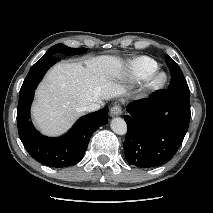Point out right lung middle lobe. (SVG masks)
<instances>
[{
	"label": "right lung middle lobe",
	"mask_w": 213,
	"mask_h": 213,
	"mask_svg": "<svg viewBox=\"0 0 213 213\" xmlns=\"http://www.w3.org/2000/svg\"><path fill=\"white\" fill-rule=\"evenodd\" d=\"M86 50H87L86 48H70L63 44H56L52 46L41 59L54 56L57 52H61L66 55H75V54H81L85 52Z\"/></svg>",
	"instance_id": "obj_1"
}]
</instances>
